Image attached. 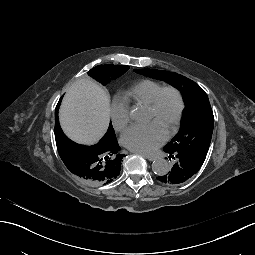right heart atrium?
I'll return each instance as SVG.
<instances>
[{
  "instance_id": "right-heart-atrium-1",
  "label": "right heart atrium",
  "mask_w": 255,
  "mask_h": 255,
  "mask_svg": "<svg viewBox=\"0 0 255 255\" xmlns=\"http://www.w3.org/2000/svg\"><path fill=\"white\" fill-rule=\"evenodd\" d=\"M110 121L117 132L123 131L130 122L128 108L119 101L112 103L109 113Z\"/></svg>"
}]
</instances>
